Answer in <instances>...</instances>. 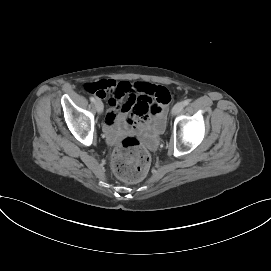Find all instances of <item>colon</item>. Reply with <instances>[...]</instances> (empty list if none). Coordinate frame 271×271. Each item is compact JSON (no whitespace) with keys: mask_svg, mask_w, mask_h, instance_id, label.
<instances>
[{"mask_svg":"<svg viewBox=\"0 0 271 271\" xmlns=\"http://www.w3.org/2000/svg\"><path fill=\"white\" fill-rule=\"evenodd\" d=\"M85 90L99 95L103 90L101 82L85 85ZM161 100H171V94L160 91ZM150 154L135 137H126L114 151L112 169L121 180L134 183L145 177L150 166Z\"/></svg>","mask_w":271,"mask_h":271,"instance_id":"5ec220e1","label":"colon"}]
</instances>
